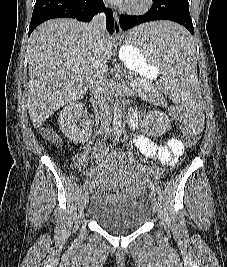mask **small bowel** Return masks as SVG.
<instances>
[{"label":"small bowel","mask_w":227,"mask_h":267,"mask_svg":"<svg viewBox=\"0 0 227 267\" xmlns=\"http://www.w3.org/2000/svg\"><path fill=\"white\" fill-rule=\"evenodd\" d=\"M132 127L137 125V121H132ZM134 141L141 153L162 165L173 166L184 153V145L177 138H168L165 142L158 145L152 142L145 135H136ZM81 161H78L79 166ZM101 172L92 173L91 191L98 197H115L120 193V189L115 185L106 184L100 180Z\"/></svg>","instance_id":"c3829d8e"}]
</instances>
